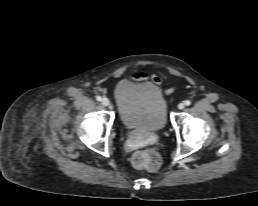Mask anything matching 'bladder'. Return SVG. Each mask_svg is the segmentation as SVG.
<instances>
[{
    "label": "bladder",
    "instance_id": "31cf9c89",
    "mask_svg": "<svg viewBox=\"0 0 258 206\" xmlns=\"http://www.w3.org/2000/svg\"><path fill=\"white\" fill-rule=\"evenodd\" d=\"M114 98L123 125L129 129L157 132L167 122V104L161 91L146 82H119Z\"/></svg>",
    "mask_w": 258,
    "mask_h": 206
}]
</instances>
